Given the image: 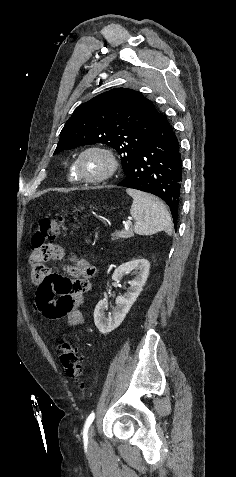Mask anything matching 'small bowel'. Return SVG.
<instances>
[{"label":"small bowel","mask_w":236,"mask_h":477,"mask_svg":"<svg viewBox=\"0 0 236 477\" xmlns=\"http://www.w3.org/2000/svg\"><path fill=\"white\" fill-rule=\"evenodd\" d=\"M56 252L43 263L42 276L33 280L38 284L34 308L45 319L50 321L66 317V325L75 328L84 324V316L79 309L85 303V294L91 290V278L94 267L82 255H74L70 250L51 244ZM70 256L73 264L64 268L65 274L53 273L46 268V261L63 259ZM88 269L83 271V266ZM73 278V279H70ZM58 295V298H55Z\"/></svg>","instance_id":"small-bowel-1"}]
</instances>
